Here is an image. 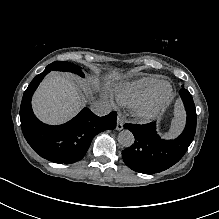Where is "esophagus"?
Listing matches in <instances>:
<instances>
[{"mask_svg":"<svg viewBox=\"0 0 219 219\" xmlns=\"http://www.w3.org/2000/svg\"><path fill=\"white\" fill-rule=\"evenodd\" d=\"M123 125H124V120L122 118L121 115L118 116L117 118V126H116V130L120 131L123 129Z\"/></svg>","mask_w":219,"mask_h":219,"instance_id":"34e87169","label":"esophagus"}]
</instances>
